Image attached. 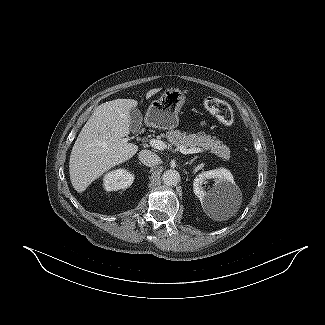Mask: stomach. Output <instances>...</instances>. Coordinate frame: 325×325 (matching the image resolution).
Instances as JSON below:
<instances>
[{
  "label": "stomach",
  "mask_w": 325,
  "mask_h": 325,
  "mask_svg": "<svg viewBox=\"0 0 325 325\" xmlns=\"http://www.w3.org/2000/svg\"><path fill=\"white\" fill-rule=\"evenodd\" d=\"M186 100L185 94L177 88L166 89L161 96L151 102L145 115L148 125L168 130L179 123L178 113Z\"/></svg>",
  "instance_id": "1"
}]
</instances>
